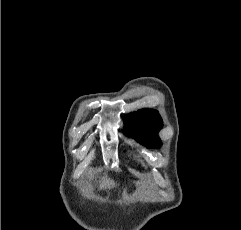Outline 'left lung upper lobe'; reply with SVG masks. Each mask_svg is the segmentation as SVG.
<instances>
[{
	"instance_id": "5c2ea615",
	"label": "left lung upper lobe",
	"mask_w": 241,
	"mask_h": 230,
	"mask_svg": "<svg viewBox=\"0 0 241 230\" xmlns=\"http://www.w3.org/2000/svg\"><path fill=\"white\" fill-rule=\"evenodd\" d=\"M125 127L128 134L139 143L149 148L161 146L158 131L162 128L163 122L156 110L142 109L125 116Z\"/></svg>"
}]
</instances>
